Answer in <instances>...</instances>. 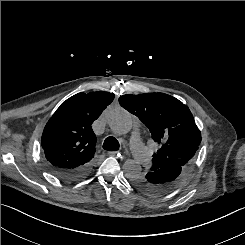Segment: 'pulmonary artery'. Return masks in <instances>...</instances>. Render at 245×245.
Masks as SVG:
<instances>
[{
	"instance_id": "obj_1",
	"label": "pulmonary artery",
	"mask_w": 245,
	"mask_h": 245,
	"mask_svg": "<svg viewBox=\"0 0 245 245\" xmlns=\"http://www.w3.org/2000/svg\"><path fill=\"white\" fill-rule=\"evenodd\" d=\"M131 144L135 160L142 166L149 167L151 165L150 153L147 147L142 144L137 130L132 133Z\"/></svg>"
}]
</instances>
